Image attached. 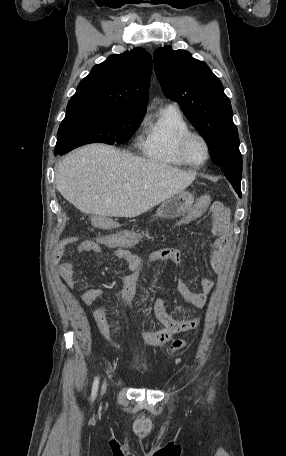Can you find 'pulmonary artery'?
Wrapping results in <instances>:
<instances>
[{
    "mask_svg": "<svg viewBox=\"0 0 286 456\" xmlns=\"http://www.w3.org/2000/svg\"><path fill=\"white\" fill-rule=\"evenodd\" d=\"M169 106L178 107L176 103H170Z\"/></svg>",
    "mask_w": 286,
    "mask_h": 456,
    "instance_id": "e3ab8cb5",
    "label": "pulmonary artery"
}]
</instances>
